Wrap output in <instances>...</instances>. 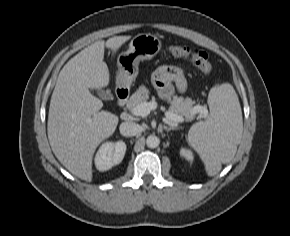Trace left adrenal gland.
<instances>
[{
    "mask_svg": "<svg viewBox=\"0 0 290 236\" xmlns=\"http://www.w3.org/2000/svg\"><path fill=\"white\" fill-rule=\"evenodd\" d=\"M164 128H165L166 131H171V130H177V129H179L178 127H174V126H170V127L164 126Z\"/></svg>",
    "mask_w": 290,
    "mask_h": 236,
    "instance_id": "obj_1",
    "label": "left adrenal gland"
}]
</instances>
